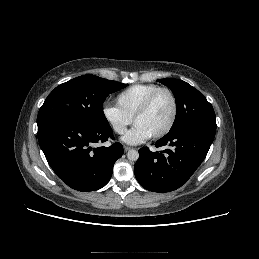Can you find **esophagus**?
<instances>
[{"label":"esophagus","mask_w":259,"mask_h":259,"mask_svg":"<svg viewBox=\"0 0 259 259\" xmlns=\"http://www.w3.org/2000/svg\"><path fill=\"white\" fill-rule=\"evenodd\" d=\"M130 149H131V147H129V146H124V151H125V152L129 151Z\"/></svg>","instance_id":"obj_1"}]
</instances>
